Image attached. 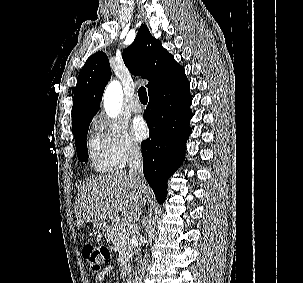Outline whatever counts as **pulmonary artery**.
Returning a JSON list of instances; mask_svg holds the SVG:
<instances>
[{
    "label": "pulmonary artery",
    "mask_w": 303,
    "mask_h": 283,
    "mask_svg": "<svg viewBox=\"0 0 303 283\" xmlns=\"http://www.w3.org/2000/svg\"><path fill=\"white\" fill-rule=\"evenodd\" d=\"M131 108H132V111L135 113H139L143 110V105L140 102L138 97H135V99L133 100V102L131 104Z\"/></svg>",
    "instance_id": "e3ab8cb5"
}]
</instances>
